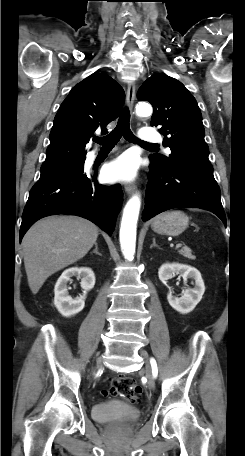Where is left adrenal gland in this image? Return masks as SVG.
Segmentation results:
<instances>
[{"instance_id": "obj_1", "label": "left adrenal gland", "mask_w": 245, "mask_h": 456, "mask_svg": "<svg viewBox=\"0 0 245 456\" xmlns=\"http://www.w3.org/2000/svg\"><path fill=\"white\" fill-rule=\"evenodd\" d=\"M152 240H153V243H152V245L150 246V248L157 247L158 249H160V247L156 244V239L153 238Z\"/></svg>"}]
</instances>
